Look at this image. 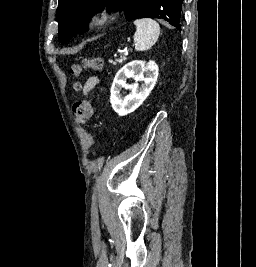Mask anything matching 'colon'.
Returning <instances> with one entry per match:
<instances>
[{
  "mask_svg": "<svg viewBox=\"0 0 256 267\" xmlns=\"http://www.w3.org/2000/svg\"><path fill=\"white\" fill-rule=\"evenodd\" d=\"M102 67V60L98 57H88L81 62H75L70 66V74L78 78L82 75L83 70L87 69L90 71L100 70ZM82 87L80 81L76 80L73 82V88L80 90ZM94 103L95 95L92 92L88 97L77 100L72 105V112L76 121L84 125L86 124L94 114Z\"/></svg>",
  "mask_w": 256,
  "mask_h": 267,
  "instance_id": "5ec220e1",
  "label": "colon"
}]
</instances>
